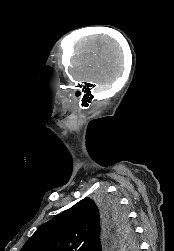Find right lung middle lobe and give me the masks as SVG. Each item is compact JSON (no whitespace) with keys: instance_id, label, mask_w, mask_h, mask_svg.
Listing matches in <instances>:
<instances>
[{"instance_id":"obj_1","label":"right lung middle lobe","mask_w":174,"mask_h":251,"mask_svg":"<svg viewBox=\"0 0 174 251\" xmlns=\"http://www.w3.org/2000/svg\"><path fill=\"white\" fill-rule=\"evenodd\" d=\"M94 202L100 208L104 219L114 228L115 235L121 238V248L128 251L135 250L136 240L133 229L128 221L126 211L118 200L103 193L97 195Z\"/></svg>"}]
</instances>
